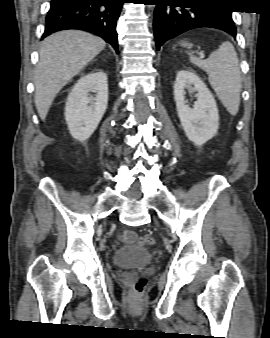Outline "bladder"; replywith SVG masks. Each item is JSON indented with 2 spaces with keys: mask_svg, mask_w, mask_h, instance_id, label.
Instances as JSON below:
<instances>
[{
  "mask_svg": "<svg viewBox=\"0 0 270 338\" xmlns=\"http://www.w3.org/2000/svg\"><path fill=\"white\" fill-rule=\"evenodd\" d=\"M154 259L152 251L137 244L121 245L115 252L112 262L119 267H139L152 263Z\"/></svg>",
  "mask_w": 270,
  "mask_h": 338,
  "instance_id": "obj_1",
  "label": "bladder"
}]
</instances>
